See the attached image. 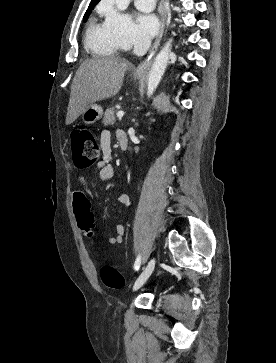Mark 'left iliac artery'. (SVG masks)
<instances>
[{"label":"left iliac artery","mask_w":276,"mask_h":363,"mask_svg":"<svg viewBox=\"0 0 276 363\" xmlns=\"http://www.w3.org/2000/svg\"><path fill=\"white\" fill-rule=\"evenodd\" d=\"M141 256L139 255L134 263V269L137 271L140 268Z\"/></svg>","instance_id":"left-iliac-artery-1"}]
</instances>
